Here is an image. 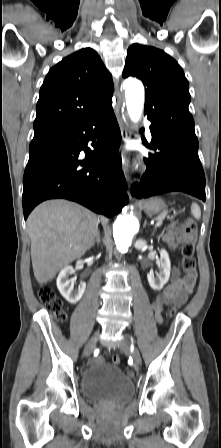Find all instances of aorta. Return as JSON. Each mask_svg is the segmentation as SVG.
<instances>
[{
    "label": "aorta",
    "mask_w": 221,
    "mask_h": 448,
    "mask_svg": "<svg viewBox=\"0 0 221 448\" xmlns=\"http://www.w3.org/2000/svg\"><path fill=\"white\" fill-rule=\"evenodd\" d=\"M126 106L132 122L137 123L141 117L144 107V87L136 79L124 81ZM139 230V221L132 214L118 216L113 225V236L117 249L126 253L131 244L133 236Z\"/></svg>",
    "instance_id": "aorta-1"
}]
</instances>
